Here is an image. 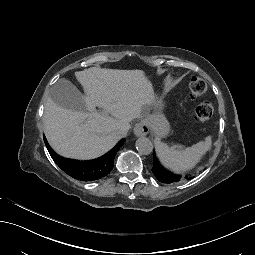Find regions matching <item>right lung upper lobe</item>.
I'll return each instance as SVG.
<instances>
[{
  "label": "right lung upper lobe",
  "instance_id": "1",
  "mask_svg": "<svg viewBox=\"0 0 255 255\" xmlns=\"http://www.w3.org/2000/svg\"><path fill=\"white\" fill-rule=\"evenodd\" d=\"M123 143L124 139L120 140L116 144V146L113 149H111L108 153H106L104 156L90 161H77L61 157L50 148L47 142L46 146L54 162L65 173L81 181H93L108 175L112 171L114 165V158L120 147L123 145ZM87 164H90L94 167V174L91 179H86L83 174V167Z\"/></svg>",
  "mask_w": 255,
  "mask_h": 255
}]
</instances>
